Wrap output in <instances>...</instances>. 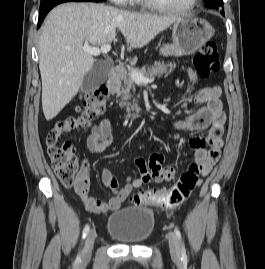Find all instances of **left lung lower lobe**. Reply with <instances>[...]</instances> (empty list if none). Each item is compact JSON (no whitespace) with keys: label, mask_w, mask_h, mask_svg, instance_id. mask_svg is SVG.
Wrapping results in <instances>:
<instances>
[{"label":"left lung lower lobe","mask_w":265,"mask_h":269,"mask_svg":"<svg viewBox=\"0 0 265 269\" xmlns=\"http://www.w3.org/2000/svg\"><path fill=\"white\" fill-rule=\"evenodd\" d=\"M221 13H222V15H224V11H222Z\"/></svg>","instance_id":"0a47b994"}]
</instances>
